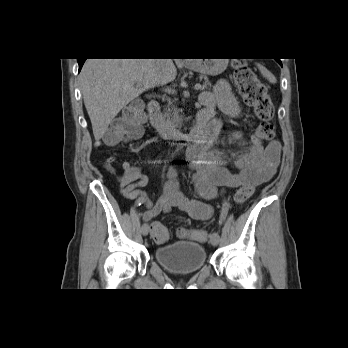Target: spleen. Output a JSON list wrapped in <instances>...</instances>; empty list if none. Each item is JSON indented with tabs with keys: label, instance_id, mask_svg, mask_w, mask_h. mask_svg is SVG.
<instances>
[{
	"label": "spleen",
	"instance_id": "spleen-1",
	"mask_svg": "<svg viewBox=\"0 0 348 348\" xmlns=\"http://www.w3.org/2000/svg\"><path fill=\"white\" fill-rule=\"evenodd\" d=\"M263 77L268 79L271 83H276V78L263 66L257 65Z\"/></svg>",
	"mask_w": 348,
	"mask_h": 348
}]
</instances>
